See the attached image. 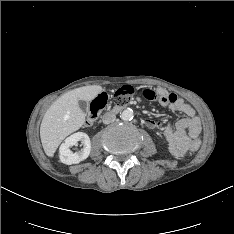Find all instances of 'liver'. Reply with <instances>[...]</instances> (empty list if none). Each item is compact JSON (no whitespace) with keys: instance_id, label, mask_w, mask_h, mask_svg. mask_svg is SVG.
<instances>
[{"instance_id":"liver-1","label":"liver","mask_w":234,"mask_h":234,"mask_svg":"<svg viewBox=\"0 0 234 234\" xmlns=\"http://www.w3.org/2000/svg\"><path fill=\"white\" fill-rule=\"evenodd\" d=\"M100 85L76 88L59 97L46 111L40 126V138L47 156L52 157L60 143L85 122L79 100L91 101L102 92Z\"/></svg>"}]
</instances>
